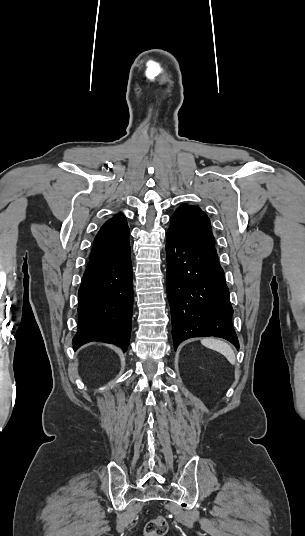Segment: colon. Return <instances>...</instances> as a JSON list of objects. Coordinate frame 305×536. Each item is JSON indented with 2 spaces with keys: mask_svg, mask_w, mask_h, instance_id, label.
<instances>
[{
  "mask_svg": "<svg viewBox=\"0 0 305 536\" xmlns=\"http://www.w3.org/2000/svg\"><path fill=\"white\" fill-rule=\"evenodd\" d=\"M168 523L164 517L158 516L149 521L143 532V536H165Z\"/></svg>",
  "mask_w": 305,
  "mask_h": 536,
  "instance_id": "obj_1",
  "label": "colon"
}]
</instances>
